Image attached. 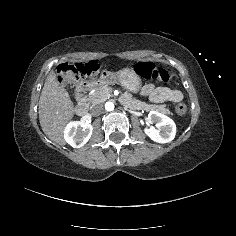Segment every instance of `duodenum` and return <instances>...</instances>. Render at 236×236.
Returning a JSON list of instances; mask_svg holds the SVG:
<instances>
[{"label":"duodenum","instance_id":"1","mask_svg":"<svg viewBox=\"0 0 236 236\" xmlns=\"http://www.w3.org/2000/svg\"><path fill=\"white\" fill-rule=\"evenodd\" d=\"M96 80L86 79L80 81L76 86V103L74 112L77 115H84L87 112V103L84 100V93L95 84Z\"/></svg>","mask_w":236,"mask_h":236}]
</instances>
